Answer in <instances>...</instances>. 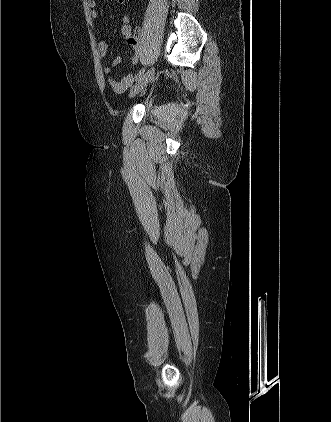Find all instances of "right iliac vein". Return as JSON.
Masks as SVG:
<instances>
[{"mask_svg": "<svg viewBox=\"0 0 331 422\" xmlns=\"http://www.w3.org/2000/svg\"><path fill=\"white\" fill-rule=\"evenodd\" d=\"M154 75V69L148 70L143 77L132 87L129 97L132 98L136 96L138 93H140L147 84L151 81L152 77Z\"/></svg>", "mask_w": 331, "mask_h": 422, "instance_id": "63e3f726", "label": "right iliac vein"}]
</instances>
